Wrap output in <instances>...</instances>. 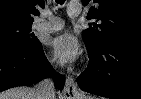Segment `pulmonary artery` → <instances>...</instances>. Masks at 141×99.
I'll return each instance as SVG.
<instances>
[{
    "instance_id": "e3ab8cb5",
    "label": "pulmonary artery",
    "mask_w": 141,
    "mask_h": 99,
    "mask_svg": "<svg viewBox=\"0 0 141 99\" xmlns=\"http://www.w3.org/2000/svg\"><path fill=\"white\" fill-rule=\"evenodd\" d=\"M70 17H76L81 13L79 4H70L67 10ZM64 23L59 17L53 16L49 11L43 10L41 17L35 21V28L43 32H55L62 29Z\"/></svg>"
}]
</instances>
